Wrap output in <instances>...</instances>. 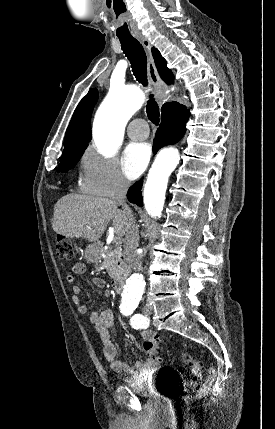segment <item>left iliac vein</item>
Listing matches in <instances>:
<instances>
[{
    "label": "left iliac vein",
    "instance_id": "4c4485c4",
    "mask_svg": "<svg viewBox=\"0 0 275 429\" xmlns=\"http://www.w3.org/2000/svg\"><path fill=\"white\" fill-rule=\"evenodd\" d=\"M143 313H144V315L146 316V317H149L150 315H151V308L149 307V306H145L144 308H143Z\"/></svg>",
    "mask_w": 275,
    "mask_h": 429
}]
</instances>
